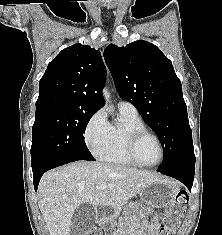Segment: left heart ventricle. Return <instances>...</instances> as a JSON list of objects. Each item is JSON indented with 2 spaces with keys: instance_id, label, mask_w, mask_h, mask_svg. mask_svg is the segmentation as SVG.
Returning a JSON list of instances; mask_svg holds the SVG:
<instances>
[{
  "instance_id": "obj_1",
  "label": "left heart ventricle",
  "mask_w": 222,
  "mask_h": 235,
  "mask_svg": "<svg viewBox=\"0 0 222 235\" xmlns=\"http://www.w3.org/2000/svg\"><path fill=\"white\" fill-rule=\"evenodd\" d=\"M137 155L141 162L155 163L160 157V148L152 137H145L137 148Z\"/></svg>"
}]
</instances>
